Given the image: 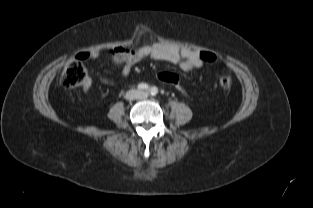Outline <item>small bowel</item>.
<instances>
[{"label": "small bowel", "instance_id": "c3829d8e", "mask_svg": "<svg viewBox=\"0 0 313 208\" xmlns=\"http://www.w3.org/2000/svg\"><path fill=\"white\" fill-rule=\"evenodd\" d=\"M98 57V51H89L79 55L80 59H97ZM111 58L115 65L122 66V74L125 76L130 73L135 64L146 58L178 65L183 71L199 69L204 64L198 52L186 48L179 49L162 43H153L134 50L116 47L111 50ZM89 87L90 82L87 81L84 90H88Z\"/></svg>", "mask_w": 313, "mask_h": 208}]
</instances>
